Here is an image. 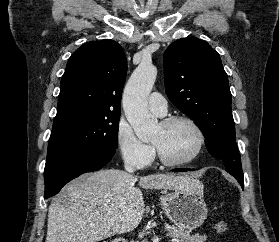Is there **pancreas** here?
<instances>
[{"label":"pancreas","mask_w":279,"mask_h":242,"mask_svg":"<svg viewBox=\"0 0 279 242\" xmlns=\"http://www.w3.org/2000/svg\"><path fill=\"white\" fill-rule=\"evenodd\" d=\"M165 231L172 238L178 239L179 242H205L207 239L205 235H190V231L169 224H165Z\"/></svg>","instance_id":"pancreas-1"}]
</instances>
